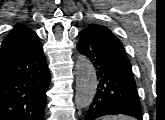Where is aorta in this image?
Returning a JSON list of instances; mask_svg holds the SVG:
<instances>
[{
  "instance_id": "obj_1",
  "label": "aorta",
  "mask_w": 165,
  "mask_h": 120,
  "mask_svg": "<svg viewBox=\"0 0 165 120\" xmlns=\"http://www.w3.org/2000/svg\"><path fill=\"white\" fill-rule=\"evenodd\" d=\"M76 95L75 103L80 108L89 106L96 94L97 78L96 71L90 60L79 55L75 64Z\"/></svg>"
}]
</instances>
